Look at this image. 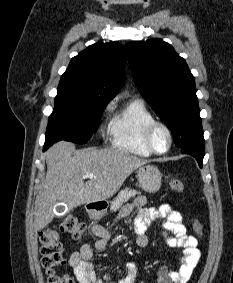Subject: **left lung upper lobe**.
<instances>
[{
	"mask_svg": "<svg viewBox=\"0 0 233 283\" xmlns=\"http://www.w3.org/2000/svg\"><path fill=\"white\" fill-rule=\"evenodd\" d=\"M125 51L140 93L172 131L176 146L204 149L195 79L185 60L158 38L129 42Z\"/></svg>",
	"mask_w": 233,
	"mask_h": 283,
	"instance_id": "1",
	"label": "left lung upper lobe"
}]
</instances>
